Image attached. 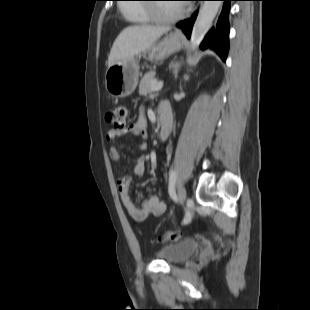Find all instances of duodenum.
<instances>
[{"mask_svg": "<svg viewBox=\"0 0 310 310\" xmlns=\"http://www.w3.org/2000/svg\"><path fill=\"white\" fill-rule=\"evenodd\" d=\"M159 119H160V139L165 140L171 133L172 129V116L171 112L168 110L160 109L159 110Z\"/></svg>", "mask_w": 310, "mask_h": 310, "instance_id": "duodenum-1", "label": "duodenum"}]
</instances>
